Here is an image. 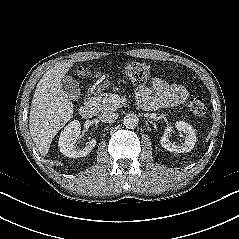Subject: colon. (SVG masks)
Listing matches in <instances>:
<instances>
[{
	"mask_svg": "<svg viewBox=\"0 0 239 239\" xmlns=\"http://www.w3.org/2000/svg\"><path fill=\"white\" fill-rule=\"evenodd\" d=\"M152 70V66L147 62H131L126 65L124 74L126 78L136 85L143 84L149 77ZM82 75L89 74V71L85 68L80 70ZM188 109L196 116H201L205 113V101L202 96L194 94L187 99Z\"/></svg>",
	"mask_w": 239,
	"mask_h": 239,
	"instance_id": "colon-1",
	"label": "colon"
}]
</instances>
